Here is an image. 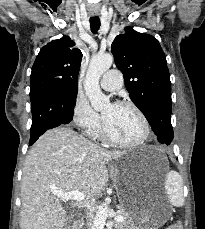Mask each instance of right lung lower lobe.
I'll list each match as a JSON object with an SVG mask.
<instances>
[{
    "mask_svg": "<svg viewBox=\"0 0 205 229\" xmlns=\"http://www.w3.org/2000/svg\"><path fill=\"white\" fill-rule=\"evenodd\" d=\"M32 126L29 145L48 129L72 121L76 98L67 92L56 91L44 94L31 101Z\"/></svg>",
    "mask_w": 205,
    "mask_h": 229,
    "instance_id": "right-lung-lower-lobe-1",
    "label": "right lung lower lobe"
}]
</instances>
